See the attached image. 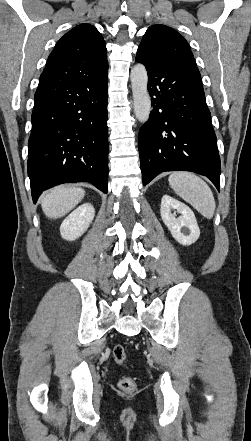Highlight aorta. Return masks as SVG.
<instances>
[{"instance_id": "1", "label": "aorta", "mask_w": 251, "mask_h": 441, "mask_svg": "<svg viewBox=\"0 0 251 441\" xmlns=\"http://www.w3.org/2000/svg\"><path fill=\"white\" fill-rule=\"evenodd\" d=\"M148 76L144 65L136 64L131 70V86L134 101V113L139 122L149 119L151 100L147 90Z\"/></svg>"}]
</instances>
